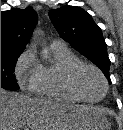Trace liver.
<instances>
[{
    "label": "liver",
    "instance_id": "liver-1",
    "mask_svg": "<svg viewBox=\"0 0 123 130\" xmlns=\"http://www.w3.org/2000/svg\"><path fill=\"white\" fill-rule=\"evenodd\" d=\"M102 115L90 106H72L1 88V130H98Z\"/></svg>",
    "mask_w": 123,
    "mask_h": 130
}]
</instances>
